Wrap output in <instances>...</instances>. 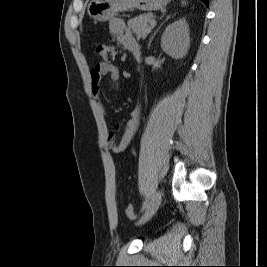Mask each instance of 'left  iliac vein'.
Wrapping results in <instances>:
<instances>
[{"label":"left iliac vein","instance_id":"obj_1","mask_svg":"<svg viewBox=\"0 0 267 267\" xmlns=\"http://www.w3.org/2000/svg\"><path fill=\"white\" fill-rule=\"evenodd\" d=\"M161 199H162V191L158 190L152 196L148 206L145 209V212L143 213V215L139 219V221H138L139 225L144 224L145 222L150 220V218L156 213V211L158 210V208L160 206Z\"/></svg>","mask_w":267,"mask_h":267}]
</instances>
